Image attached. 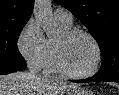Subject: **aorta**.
Segmentation results:
<instances>
[{"label": "aorta", "instance_id": "762f6f07", "mask_svg": "<svg viewBox=\"0 0 119 95\" xmlns=\"http://www.w3.org/2000/svg\"><path fill=\"white\" fill-rule=\"evenodd\" d=\"M33 13L47 37L54 36L58 31V25L53 19L51 0H36Z\"/></svg>", "mask_w": 119, "mask_h": 95}]
</instances>
